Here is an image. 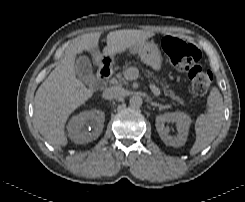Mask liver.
Instances as JSON below:
<instances>
[{
  "label": "liver",
  "mask_w": 245,
  "mask_h": 202,
  "mask_svg": "<svg viewBox=\"0 0 245 202\" xmlns=\"http://www.w3.org/2000/svg\"><path fill=\"white\" fill-rule=\"evenodd\" d=\"M154 33L142 30H117L108 33L104 53L94 49L101 33H88L76 37L65 50L60 63L42 82L35 94L34 120L44 138L56 147L68 143L65 124L70 114L93 96V91L76 78L75 58L83 51H93L95 65L102 67L104 55L114 56L145 42Z\"/></svg>",
  "instance_id": "1"
}]
</instances>
